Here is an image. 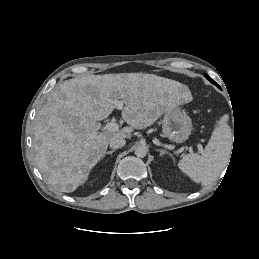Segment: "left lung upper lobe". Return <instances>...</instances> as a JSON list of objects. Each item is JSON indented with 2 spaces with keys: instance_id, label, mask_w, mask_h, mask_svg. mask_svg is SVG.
Wrapping results in <instances>:
<instances>
[{
  "instance_id": "5c2ea615",
  "label": "left lung upper lobe",
  "mask_w": 259,
  "mask_h": 259,
  "mask_svg": "<svg viewBox=\"0 0 259 259\" xmlns=\"http://www.w3.org/2000/svg\"><path fill=\"white\" fill-rule=\"evenodd\" d=\"M205 77H206L211 83H213V84H215L216 86H218L217 83H216L212 78H210L207 74H205Z\"/></svg>"
}]
</instances>
